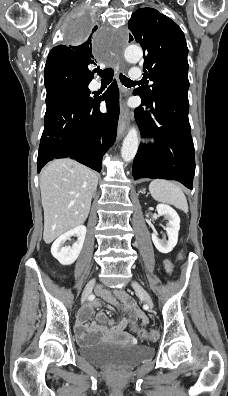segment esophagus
Instances as JSON below:
<instances>
[{"instance_id":"obj_1","label":"esophagus","mask_w":228,"mask_h":396,"mask_svg":"<svg viewBox=\"0 0 228 396\" xmlns=\"http://www.w3.org/2000/svg\"><path fill=\"white\" fill-rule=\"evenodd\" d=\"M124 102V100H123ZM128 121H129V111L128 109L124 106V103L122 104L121 107V114L119 117V121H118V128H117V137L118 139H121L126 130H127V126H128Z\"/></svg>"}]
</instances>
